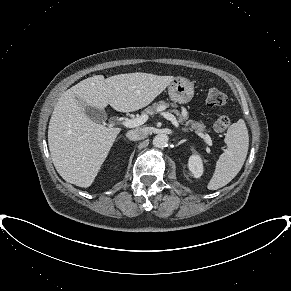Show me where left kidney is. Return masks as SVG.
<instances>
[{
	"label": "left kidney",
	"mask_w": 291,
	"mask_h": 291,
	"mask_svg": "<svg viewBox=\"0 0 291 291\" xmlns=\"http://www.w3.org/2000/svg\"><path fill=\"white\" fill-rule=\"evenodd\" d=\"M188 167L195 178H199L203 174V163L198 154H193L190 156Z\"/></svg>",
	"instance_id": "1"
}]
</instances>
